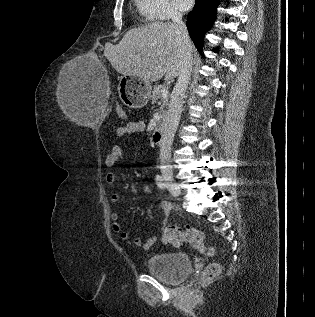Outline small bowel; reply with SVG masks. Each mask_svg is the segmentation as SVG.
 <instances>
[{
    "instance_id": "c3829d8e",
    "label": "small bowel",
    "mask_w": 315,
    "mask_h": 317,
    "mask_svg": "<svg viewBox=\"0 0 315 317\" xmlns=\"http://www.w3.org/2000/svg\"><path fill=\"white\" fill-rule=\"evenodd\" d=\"M146 124L144 121L136 120V121H130L126 125L119 127L116 130V135L118 137H126L135 133H140L145 131ZM126 154V149L123 146L116 145L112 148L111 153L107 156L105 160V165L110 170L106 174V182L108 184H113L116 180L117 174L116 171L113 169L114 165L121 161ZM130 191L134 195L135 199H138V189L136 184L131 181L130 182ZM143 191L147 194H150L152 192V189L149 184H145L143 186ZM111 201L113 203H117L120 201V195L118 193H112L111 195ZM161 209L165 213L166 216H168L171 212V206L168 202L163 201L161 203ZM111 220H112V229L115 233H117L121 240H128L130 238L129 232L124 230L122 223L120 222V217L117 212L111 213ZM157 240L156 236H151L147 240H143L142 238L136 237L133 239V244L135 246L141 247L145 250H148Z\"/></svg>"
}]
</instances>
